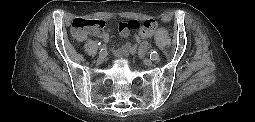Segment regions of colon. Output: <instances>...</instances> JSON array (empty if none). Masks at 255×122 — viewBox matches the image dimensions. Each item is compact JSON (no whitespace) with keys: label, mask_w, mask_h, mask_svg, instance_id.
Segmentation results:
<instances>
[{"label":"colon","mask_w":255,"mask_h":122,"mask_svg":"<svg viewBox=\"0 0 255 122\" xmlns=\"http://www.w3.org/2000/svg\"><path fill=\"white\" fill-rule=\"evenodd\" d=\"M107 24L103 20L99 19H85L76 18L72 23V34L76 39H81L84 34L89 31H103ZM125 26L131 31H138L141 36H151L152 32L156 28V22L153 20H147L140 22L138 20H130L128 22L119 23L118 27Z\"/></svg>","instance_id":"5ec220e1"}]
</instances>
